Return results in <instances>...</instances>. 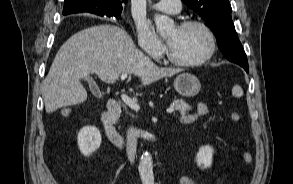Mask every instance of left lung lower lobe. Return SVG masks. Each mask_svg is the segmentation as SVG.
<instances>
[{"instance_id":"1","label":"left lung lower lobe","mask_w":293,"mask_h":184,"mask_svg":"<svg viewBox=\"0 0 293 184\" xmlns=\"http://www.w3.org/2000/svg\"><path fill=\"white\" fill-rule=\"evenodd\" d=\"M231 62H234L240 66H242L246 72L248 73L249 72V67H248V61H247V58H243V59H238V60H235V61H231Z\"/></svg>"}]
</instances>
